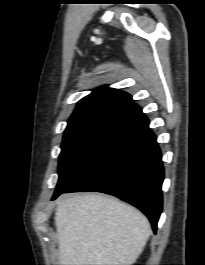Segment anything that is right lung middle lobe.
<instances>
[{"label": "right lung middle lobe", "mask_w": 205, "mask_h": 265, "mask_svg": "<svg viewBox=\"0 0 205 265\" xmlns=\"http://www.w3.org/2000/svg\"><path fill=\"white\" fill-rule=\"evenodd\" d=\"M122 125H94L64 134L55 193L69 186L124 130Z\"/></svg>", "instance_id": "right-lung-middle-lobe-1"}]
</instances>
